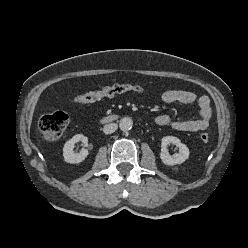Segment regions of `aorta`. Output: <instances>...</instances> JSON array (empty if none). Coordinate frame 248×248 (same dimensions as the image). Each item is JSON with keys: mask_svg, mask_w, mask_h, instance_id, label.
Instances as JSON below:
<instances>
[{"mask_svg": "<svg viewBox=\"0 0 248 248\" xmlns=\"http://www.w3.org/2000/svg\"><path fill=\"white\" fill-rule=\"evenodd\" d=\"M133 126V121L130 117H123L120 120L119 127L123 132L131 130Z\"/></svg>", "mask_w": 248, "mask_h": 248, "instance_id": "762f6f07", "label": "aorta"}]
</instances>
